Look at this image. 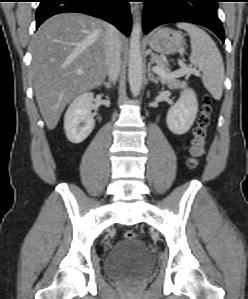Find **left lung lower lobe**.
<instances>
[{
    "instance_id": "left-lung-lower-lobe-1",
    "label": "left lung lower lobe",
    "mask_w": 248,
    "mask_h": 299,
    "mask_svg": "<svg viewBox=\"0 0 248 299\" xmlns=\"http://www.w3.org/2000/svg\"><path fill=\"white\" fill-rule=\"evenodd\" d=\"M143 29L147 34L155 27L172 22H189L207 27L222 42L225 34L217 15L218 0H143Z\"/></svg>"
}]
</instances>
